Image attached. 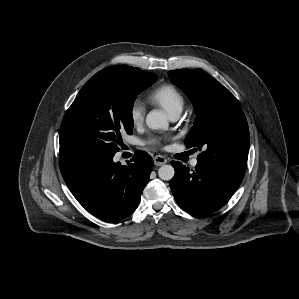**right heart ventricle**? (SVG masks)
<instances>
[{
    "label": "right heart ventricle",
    "mask_w": 299,
    "mask_h": 299,
    "mask_svg": "<svg viewBox=\"0 0 299 299\" xmlns=\"http://www.w3.org/2000/svg\"><path fill=\"white\" fill-rule=\"evenodd\" d=\"M149 99L165 109L170 116L180 113L185 103L183 94L170 84H162L152 90Z\"/></svg>",
    "instance_id": "1"
}]
</instances>
